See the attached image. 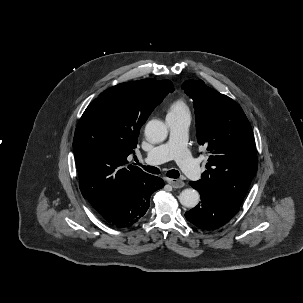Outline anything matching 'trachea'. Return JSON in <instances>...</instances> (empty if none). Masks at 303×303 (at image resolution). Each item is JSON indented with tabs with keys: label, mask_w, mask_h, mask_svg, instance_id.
<instances>
[{
	"label": "trachea",
	"mask_w": 303,
	"mask_h": 303,
	"mask_svg": "<svg viewBox=\"0 0 303 303\" xmlns=\"http://www.w3.org/2000/svg\"><path fill=\"white\" fill-rule=\"evenodd\" d=\"M138 163V162H137ZM142 168H144V170H146L149 173L152 174H160V170L157 167L154 166H145V165H141ZM179 172L175 169L173 170H169L166 174V176L170 177V178H178L179 177Z\"/></svg>",
	"instance_id": "1"
}]
</instances>
